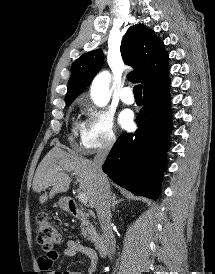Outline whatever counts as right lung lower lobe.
Here are the masks:
<instances>
[{"label":"right lung lower lobe","mask_w":215,"mask_h":274,"mask_svg":"<svg viewBox=\"0 0 215 274\" xmlns=\"http://www.w3.org/2000/svg\"><path fill=\"white\" fill-rule=\"evenodd\" d=\"M168 85L144 92V107L136 118L135 133L122 134L114 144L103 171L135 195L156 200L165 168L171 131Z\"/></svg>","instance_id":"obj_1"}]
</instances>
